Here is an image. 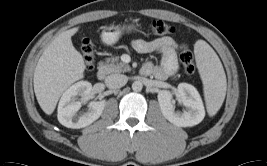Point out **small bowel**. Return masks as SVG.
Listing matches in <instances>:
<instances>
[{
    "label": "small bowel",
    "mask_w": 267,
    "mask_h": 166,
    "mask_svg": "<svg viewBox=\"0 0 267 166\" xmlns=\"http://www.w3.org/2000/svg\"><path fill=\"white\" fill-rule=\"evenodd\" d=\"M133 49L142 54L156 52L161 56L160 64L147 61L141 68L143 75H154L159 80L173 77L178 69V46L176 41L169 36L156 38L151 41L135 39L131 42Z\"/></svg>",
    "instance_id": "small-bowel-1"
}]
</instances>
